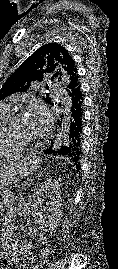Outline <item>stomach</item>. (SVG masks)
<instances>
[{"instance_id": "stomach-1", "label": "stomach", "mask_w": 118, "mask_h": 269, "mask_svg": "<svg viewBox=\"0 0 118 269\" xmlns=\"http://www.w3.org/2000/svg\"><path fill=\"white\" fill-rule=\"evenodd\" d=\"M40 165L41 161L38 157L27 156L0 166V194L7 185L33 175Z\"/></svg>"}]
</instances>
